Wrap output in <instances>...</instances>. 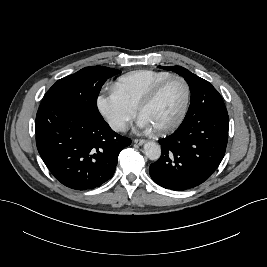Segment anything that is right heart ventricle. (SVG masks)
<instances>
[{
  "label": "right heart ventricle",
  "instance_id": "right-heart-ventricle-1",
  "mask_svg": "<svg viewBox=\"0 0 267 267\" xmlns=\"http://www.w3.org/2000/svg\"><path fill=\"white\" fill-rule=\"evenodd\" d=\"M171 75L165 71L137 70L120 76L113 90L135 109L150 89L160 80Z\"/></svg>",
  "mask_w": 267,
  "mask_h": 267
}]
</instances>
